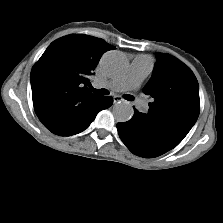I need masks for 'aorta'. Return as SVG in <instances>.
<instances>
[{
	"mask_svg": "<svg viewBox=\"0 0 223 223\" xmlns=\"http://www.w3.org/2000/svg\"><path fill=\"white\" fill-rule=\"evenodd\" d=\"M101 68L109 75L121 73L125 67L124 60L115 54L104 56L100 63ZM113 115L117 122H127L133 116V109L128 103H117L113 106Z\"/></svg>",
	"mask_w": 223,
	"mask_h": 223,
	"instance_id": "aorta-1",
	"label": "aorta"
}]
</instances>
